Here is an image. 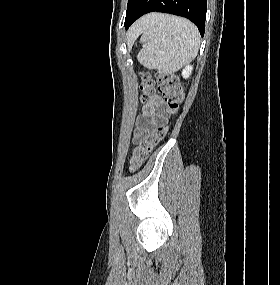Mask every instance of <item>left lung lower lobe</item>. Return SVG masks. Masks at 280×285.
I'll use <instances>...</instances> for the list:
<instances>
[{
	"mask_svg": "<svg viewBox=\"0 0 280 285\" xmlns=\"http://www.w3.org/2000/svg\"><path fill=\"white\" fill-rule=\"evenodd\" d=\"M152 11L186 17L196 24L201 36L204 35L206 0H137L125 18L126 29L139 17Z\"/></svg>",
	"mask_w": 280,
	"mask_h": 285,
	"instance_id": "1",
	"label": "left lung lower lobe"
}]
</instances>
